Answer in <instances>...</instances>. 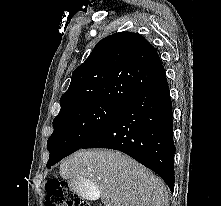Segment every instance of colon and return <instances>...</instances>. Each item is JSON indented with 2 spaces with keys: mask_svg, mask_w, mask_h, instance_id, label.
<instances>
[{
  "mask_svg": "<svg viewBox=\"0 0 221 206\" xmlns=\"http://www.w3.org/2000/svg\"><path fill=\"white\" fill-rule=\"evenodd\" d=\"M45 206H92L74 194L67 182L51 179L45 185Z\"/></svg>",
  "mask_w": 221,
  "mask_h": 206,
  "instance_id": "1",
  "label": "colon"
}]
</instances>
